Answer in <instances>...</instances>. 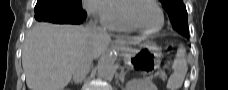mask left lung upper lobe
Returning a JSON list of instances; mask_svg holds the SVG:
<instances>
[{
  "label": "left lung upper lobe",
  "mask_w": 228,
  "mask_h": 90,
  "mask_svg": "<svg viewBox=\"0 0 228 90\" xmlns=\"http://www.w3.org/2000/svg\"><path fill=\"white\" fill-rule=\"evenodd\" d=\"M167 10L172 26L180 34L188 33L187 11L183 0H160Z\"/></svg>",
  "instance_id": "left-lung-upper-lobe-1"
}]
</instances>
